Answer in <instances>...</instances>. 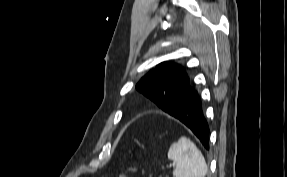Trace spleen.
Returning <instances> with one entry per match:
<instances>
[{"instance_id": "1", "label": "spleen", "mask_w": 287, "mask_h": 177, "mask_svg": "<svg viewBox=\"0 0 287 177\" xmlns=\"http://www.w3.org/2000/svg\"><path fill=\"white\" fill-rule=\"evenodd\" d=\"M168 158L176 164L174 177H205L207 174V164L201 151L184 136L170 146Z\"/></svg>"}]
</instances>
